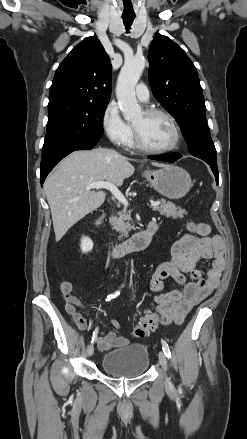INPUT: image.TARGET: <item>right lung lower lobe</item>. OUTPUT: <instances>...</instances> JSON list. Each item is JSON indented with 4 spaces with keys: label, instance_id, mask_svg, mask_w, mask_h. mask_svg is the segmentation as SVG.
I'll list each match as a JSON object with an SVG mask.
<instances>
[{
    "label": "right lung lower lobe",
    "instance_id": "right-lung-lower-lobe-1",
    "mask_svg": "<svg viewBox=\"0 0 247 439\" xmlns=\"http://www.w3.org/2000/svg\"><path fill=\"white\" fill-rule=\"evenodd\" d=\"M96 144L97 142L78 144V145L68 146L57 150L49 151L47 153L42 154L41 167H40L41 185H43L48 173L62 158H64L65 156H67L68 154H70L75 150L92 149L93 147L96 146Z\"/></svg>",
    "mask_w": 247,
    "mask_h": 439
}]
</instances>
